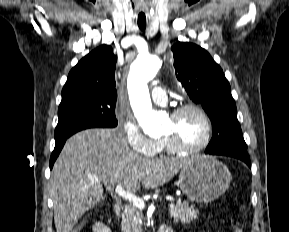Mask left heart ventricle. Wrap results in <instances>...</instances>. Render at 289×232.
Returning a JSON list of instances; mask_svg holds the SVG:
<instances>
[{"mask_svg": "<svg viewBox=\"0 0 289 232\" xmlns=\"http://www.w3.org/2000/svg\"><path fill=\"white\" fill-rule=\"evenodd\" d=\"M205 134V124L195 111H186L175 119L169 117L163 131V137H171L185 146L199 144Z\"/></svg>", "mask_w": 289, "mask_h": 232, "instance_id": "left-heart-ventricle-1", "label": "left heart ventricle"}]
</instances>
